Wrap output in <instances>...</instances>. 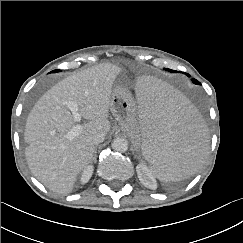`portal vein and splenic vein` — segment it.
I'll list each match as a JSON object with an SVG mask.
<instances>
[{
	"mask_svg": "<svg viewBox=\"0 0 243 243\" xmlns=\"http://www.w3.org/2000/svg\"><path fill=\"white\" fill-rule=\"evenodd\" d=\"M67 107L72 112L73 118L76 122H80L81 114L79 113L78 105L75 102L69 101L66 103ZM82 130V126L80 124H76L72 127V129L68 132L67 138L73 139L80 134Z\"/></svg>",
	"mask_w": 243,
	"mask_h": 243,
	"instance_id": "portal-vein-and-splenic-vein-1",
	"label": "portal vein and splenic vein"
}]
</instances>
